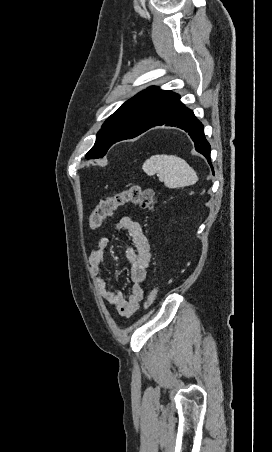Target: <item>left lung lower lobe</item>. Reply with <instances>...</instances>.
<instances>
[{
	"instance_id": "1",
	"label": "left lung lower lobe",
	"mask_w": 272,
	"mask_h": 452,
	"mask_svg": "<svg viewBox=\"0 0 272 452\" xmlns=\"http://www.w3.org/2000/svg\"><path fill=\"white\" fill-rule=\"evenodd\" d=\"M162 125L178 127L186 131L195 144V150L207 159L213 171L210 158V144L205 138L204 126L195 117L193 111L182 104L178 94L171 98L148 129Z\"/></svg>"
}]
</instances>
